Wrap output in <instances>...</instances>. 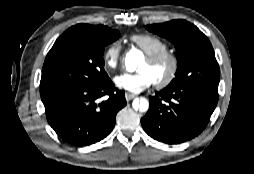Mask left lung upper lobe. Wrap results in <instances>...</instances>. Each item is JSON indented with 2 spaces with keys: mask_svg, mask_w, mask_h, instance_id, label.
Masks as SVG:
<instances>
[{
  "mask_svg": "<svg viewBox=\"0 0 254 174\" xmlns=\"http://www.w3.org/2000/svg\"><path fill=\"white\" fill-rule=\"evenodd\" d=\"M146 29L175 44L178 61L176 77L166 88L219 84L220 70L213 47L196 26L179 19L148 25Z\"/></svg>",
  "mask_w": 254,
  "mask_h": 174,
  "instance_id": "obj_1",
  "label": "left lung upper lobe"
}]
</instances>
